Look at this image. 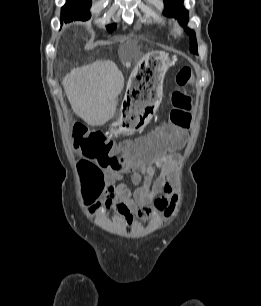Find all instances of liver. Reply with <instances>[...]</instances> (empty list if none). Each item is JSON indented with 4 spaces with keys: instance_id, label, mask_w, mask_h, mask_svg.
Wrapping results in <instances>:
<instances>
[{
    "instance_id": "1",
    "label": "liver",
    "mask_w": 261,
    "mask_h": 306,
    "mask_svg": "<svg viewBox=\"0 0 261 306\" xmlns=\"http://www.w3.org/2000/svg\"><path fill=\"white\" fill-rule=\"evenodd\" d=\"M62 84L75 114L89 125L101 126L115 115L124 77L114 62L96 61L72 69Z\"/></svg>"
}]
</instances>
